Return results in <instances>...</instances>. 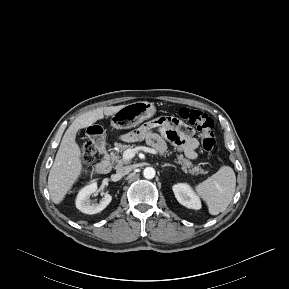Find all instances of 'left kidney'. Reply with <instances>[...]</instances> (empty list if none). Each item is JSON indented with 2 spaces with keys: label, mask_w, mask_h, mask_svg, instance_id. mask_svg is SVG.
<instances>
[{
  "label": "left kidney",
  "mask_w": 289,
  "mask_h": 289,
  "mask_svg": "<svg viewBox=\"0 0 289 289\" xmlns=\"http://www.w3.org/2000/svg\"><path fill=\"white\" fill-rule=\"evenodd\" d=\"M173 192L177 201L189 209L201 208V201L188 184L179 183L173 186Z\"/></svg>",
  "instance_id": "left-kidney-1"
}]
</instances>
